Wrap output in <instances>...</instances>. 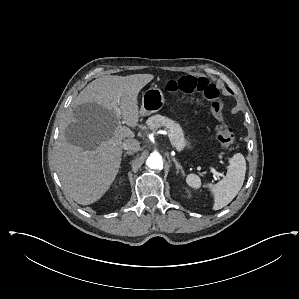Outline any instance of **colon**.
Listing matches in <instances>:
<instances>
[{"label":"colon","instance_id":"colon-1","mask_svg":"<svg viewBox=\"0 0 299 299\" xmlns=\"http://www.w3.org/2000/svg\"><path fill=\"white\" fill-rule=\"evenodd\" d=\"M166 88L170 92L202 94L208 100L210 110L216 120V136L220 146L224 149L232 147L234 143V133L224 118V104L220 97V92L214 84L206 78L185 76L168 81Z\"/></svg>","mask_w":299,"mask_h":299}]
</instances>
